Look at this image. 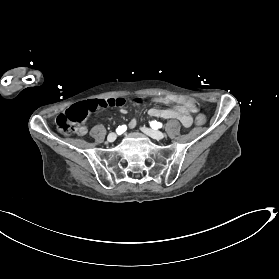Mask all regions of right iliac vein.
I'll return each mask as SVG.
<instances>
[{"mask_svg": "<svg viewBox=\"0 0 279 279\" xmlns=\"http://www.w3.org/2000/svg\"><path fill=\"white\" fill-rule=\"evenodd\" d=\"M116 138H117V135H116L115 133H110V134L108 135V137H107V140H108L109 142H113V141L116 140Z\"/></svg>", "mask_w": 279, "mask_h": 279, "instance_id": "right-iliac-vein-1", "label": "right iliac vein"}]
</instances>
